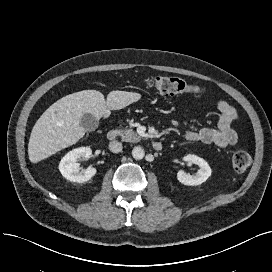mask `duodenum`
Here are the masks:
<instances>
[{"label":"duodenum","instance_id":"obj_1","mask_svg":"<svg viewBox=\"0 0 272 272\" xmlns=\"http://www.w3.org/2000/svg\"><path fill=\"white\" fill-rule=\"evenodd\" d=\"M117 138V131L115 129H109L107 132V139L113 141ZM152 148L156 151H160L163 148V145L160 141H154L152 143Z\"/></svg>","mask_w":272,"mask_h":272}]
</instances>
